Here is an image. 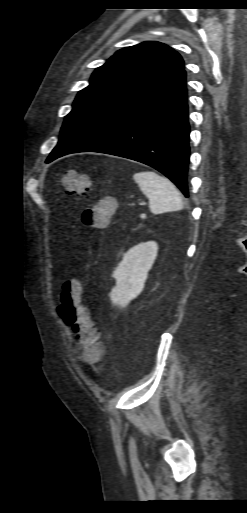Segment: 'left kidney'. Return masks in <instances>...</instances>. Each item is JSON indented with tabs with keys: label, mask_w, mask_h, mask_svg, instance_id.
<instances>
[{
	"label": "left kidney",
	"mask_w": 247,
	"mask_h": 513,
	"mask_svg": "<svg viewBox=\"0 0 247 513\" xmlns=\"http://www.w3.org/2000/svg\"><path fill=\"white\" fill-rule=\"evenodd\" d=\"M157 252L158 244L148 241L137 244L124 254L113 272L116 286L113 287L110 298L114 304L125 307L142 292Z\"/></svg>",
	"instance_id": "left-kidney-1"
}]
</instances>
